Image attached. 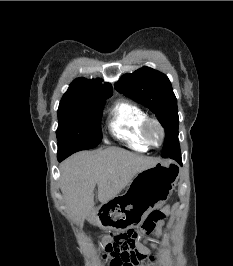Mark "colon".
I'll use <instances>...</instances> for the list:
<instances>
[{
	"label": "colon",
	"mask_w": 233,
	"mask_h": 266,
	"mask_svg": "<svg viewBox=\"0 0 233 266\" xmlns=\"http://www.w3.org/2000/svg\"><path fill=\"white\" fill-rule=\"evenodd\" d=\"M165 214L160 210L152 211L142 224L141 230L145 233L152 232L158 224L164 223ZM136 230L132 232H112L104 240L105 257L110 259V266L119 263L122 266H134L141 261V256L136 250Z\"/></svg>",
	"instance_id": "colon-1"
}]
</instances>
